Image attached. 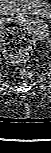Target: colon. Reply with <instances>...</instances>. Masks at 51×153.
Segmentation results:
<instances>
[{
  "mask_svg": "<svg viewBox=\"0 0 51 153\" xmlns=\"http://www.w3.org/2000/svg\"><path fill=\"white\" fill-rule=\"evenodd\" d=\"M35 49L34 36L22 25L16 22H8L2 29V57L12 63H24ZM22 76L30 78L31 71H23Z\"/></svg>",
  "mask_w": 51,
  "mask_h": 153,
  "instance_id": "1",
  "label": "colon"
}]
</instances>
